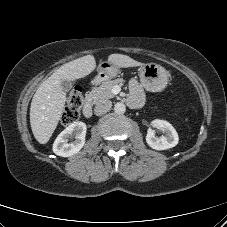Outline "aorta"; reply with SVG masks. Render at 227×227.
<instances>
[{
	"mask_svg": "<svg viewBox=\"0 0 227 227\" xmlns=\"http://www.w3.org/2000/svg\"><path fill=\"white\" fill-rule=\"evenodd\" d=\"M114 111L117 114H123L126 111V106L124 103L118 102L114 106Z\"/></svg>",
	"mask_w": 227,
	"mask_h": 227,
	"instance_id": "762f6f07",
	"label": "aorta"
}]
</instances>
